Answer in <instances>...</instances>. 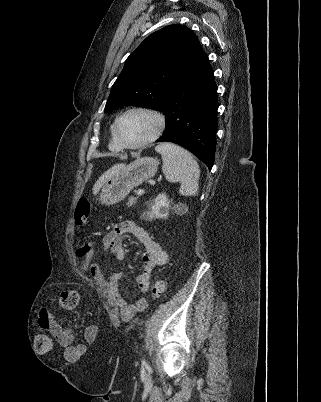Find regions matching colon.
I'll return each mask as SVG.
<instances>
[{"label": "colon", "instance_id": "5ec220e1", "mask_svg": "<svg viewBox=\"0 0 321 402\" xmlns=\"http://www.w3.org/2000/svg\"><path fill=\"white\" fill-rule=\"evenodd\" d=\"M91 211V203L88 199L82 198L78 201L74 213V223L77 228H81L87 223ZM75 254L80 259V267L82 271L90 268L95 257V246L90 242H82L77 239L75 241ZM166 290V282L163 279L155 281L152 294L158 298L164 294ZM79 304V293L76 289L63 291L59 298V305L63 310H72ZM53 342L49 334L40 332L35 336V347L38 352H49L52 349Z\"/></svg>", "mask_w": 321, "mask_h": 402}]
</instances>
